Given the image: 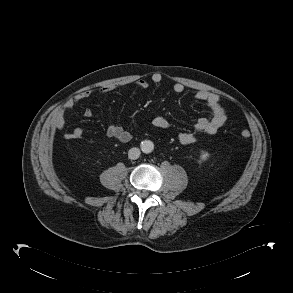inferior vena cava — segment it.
I'll return each mask as SVG.
<instances>
[{"instance_id": "1", "label": "inferior vena cava", "mask_w": 293, "mask_h": 293, "mask_svg": "<svg viewBox=\"0 0 293 293\" xmlns=\"http://www.w3.org/2000/svg\"><path fill=\"white\" fill-rule=\"evenodd\" d=\"M139 156H140L139 148L133 147L128 151L129 159L135 160V159H138Z\"/></svg>"}]
</instances>
